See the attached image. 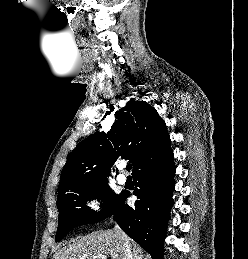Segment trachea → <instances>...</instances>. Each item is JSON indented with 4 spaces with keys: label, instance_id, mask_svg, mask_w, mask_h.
Segmentation results:
<instances>
[{
    "label": "trachea",
    "instance_id": "1",
    "mask_svg": "<svg viewBox=\"0 0 248 259\" xmlns=\"http://www.w3.org/2000/svg\"><path fill=\"white\" fill-rule=\"evenodd\" d=\"M131 168H132V165H131V164H128V165L126 166V170H127V171H130Z\"/></svg>",
    "mask_w": 248,
    "mask_h": 259
}]
</instances>
